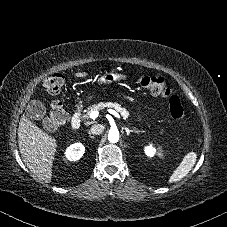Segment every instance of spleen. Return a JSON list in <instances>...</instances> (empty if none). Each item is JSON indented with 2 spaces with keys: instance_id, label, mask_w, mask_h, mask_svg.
Returning a JSON list of instances; mask_svg holds the SVG:
<instances>
[{
  "instance_id": "obj_1",
  "label": "spleen",
  "mask_w": 227,
  "mask_h": 227,
  "mask_svg": "<svg viewBox=\"0 0 227 227\" xmlns=\"http://www.w3.org/2000/svg\"><path fill=\"white\" fill-rule=\"evenodd\" d=\"M197 159V154L193 151L187 153L179 166L173 171L168 183L178 182L183 179L193 168Z\"/></svg>"
}]
</instances>
